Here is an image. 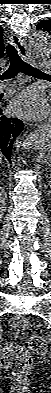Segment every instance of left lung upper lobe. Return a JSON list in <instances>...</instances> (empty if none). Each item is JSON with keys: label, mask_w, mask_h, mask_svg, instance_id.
<instances>
[{"label": "left lung upper lobe", "mask_w": 51, "mask_h": 393, "mask_svg": "<svg viewBox=\"0 0 51 393\" xmlns=\"http://www.w3.org/2000/svg\"><path fill=\"white\" fill-rule=\"evenodd\" d=\"M37 30L47 31L51 34V19L42 21L36 26Z\"/></svg>", "instance_id": "left-lung-upper-lobe-1"}]
</instances>
